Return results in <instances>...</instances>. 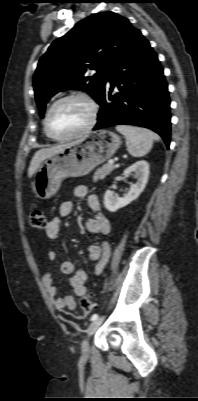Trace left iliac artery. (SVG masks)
Here are the masks:
<instances>
[{"label": "left iliac artery", "instance_id": "1", "mask_svg": "<svg viewBox=\"0 0 198 401\" xmlns=\"http://www.w3.org/2000/svg\"><path fill=\"white\" fill-rule=\"evenodd\" d=\"M98 318V315L97 314H93L92 316H91V321H94V320H96Z\"/></svg>", "mask_w": 198, "mask_h": 401}]
</instances>
